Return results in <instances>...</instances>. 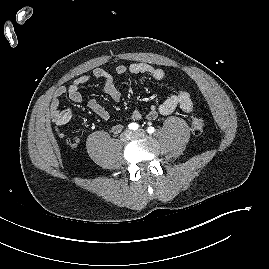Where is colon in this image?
I'll return each instance as SVG.
<instances>
[{
	"label": "colon",
	"instance_id": "colon-1",
	"mask_svg": "<svg viewBox=\"0 0 269 269\" xmlns=\"http://www.w3.org/2000/svg\"><path fill=\"white\" fill-rule=\"evenodd\" d=\"M70 121H71V118L68 115H65L64 116L65 124L66 125L69 124ZM204 125H205L204 120L201 117L194 116L191 118L190 127L194 134L196 135L201 134L204 130Z\"/></svg>",
	"mask_w": 269,
	"mask_h": 269
}]
</instances>
